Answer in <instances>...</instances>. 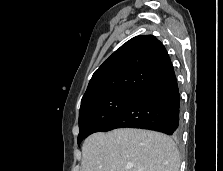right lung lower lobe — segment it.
<instances>
[{
  "instance_id": "98d812e1",
  "label": "right lung lower lobe",
  "mask_w": 223,
  "mask_h": 171,
  "mask_svg": "<svg viewBox=\"0 0 223 171\" xmlns=\"http://www.w3.org/2000/svg\"><path fill=\"white\" fill-rule=\"evenodd\" d=\"M123 127L149 129L175 137L180 136V94L173 69L139 92L97 132Z\"/></svg>"
}]
</instances>
